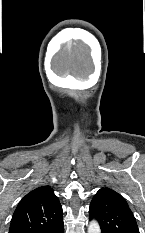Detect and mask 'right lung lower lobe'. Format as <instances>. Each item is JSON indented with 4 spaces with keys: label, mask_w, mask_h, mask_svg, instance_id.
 Here are the masks:
<instances>
[{
    "label": "right lung lower lobe",
    "mask_w": 145,
    "mask_h": 233,
    "mask_svg": "<svg viewBox=\"0 0 145 233\" xmlns=\"http://www.w3.org/2000/svg\"><path fill=\"white\" fill-rule=\"evenodd\" d=\"M50 233H64V225L61 222L56 228H54Z\"/></svg>",
    "instance_id": "right-lung-lower-lobe-1"
}]
</instances>
